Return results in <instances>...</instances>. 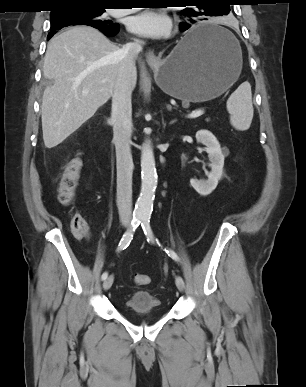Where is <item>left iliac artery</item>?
Segmentation results:
<instances>
[{
    "label": "left iliac artery",
    "mask_w": 306,
    "mask_h": 387,
    "mask_svg": "<svg viewBox=\"0 0 306 387\" xmlns=\"http://www.w3.org/2000/svg\"><path fill=\"white\" fill-rule=\"evenodd\" d=\"M149 219L150 218H148V217H143L141 219V227H142V229L144 231V234L147 237V241L151 242V243H154V235H153V232H152V229H151V226H150V220ZM165 251L175 261L179 260L177 254L173 250L165 248Z\"/></svg>",
    "instance_id": "left-iliac-artery-1"
}]
</instances>
